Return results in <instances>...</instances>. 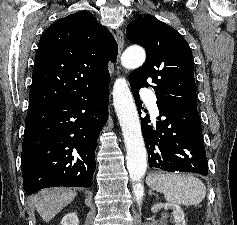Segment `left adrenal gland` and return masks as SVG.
I'll list each match as a JSON object with an SVG mask.
<instances>
[{"mask_svg":"<svg viewBox=\"0 0 237 225\" xmlns=\"http://www.w3.org/2000/svg\"><path fill=\"white\" fill-rule=\"evenodd\" d=\"M152 194L158 196L157 194L153 193L152 190H150V191H149V195H152Z\"/></svg>","mask_w":237,"mask_h":225,"instance_id":"obj_1","label":"left adrenal gland"}]
</instances>
